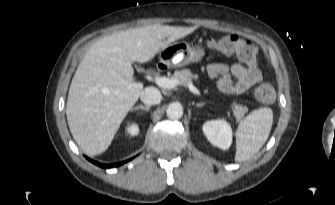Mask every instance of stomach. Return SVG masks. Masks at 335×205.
I'll return each mask as SVG.
<instances>
[{
    "instance_id": "1",
    "label": "stomach",
    "mask_w": 335,
    "mask_h": 205,
    "mask_svg": "<svg viewBox=\"0 0 335 205\" xmlns=\"http://www.w3.org/2000/svg\"><path fill=\"white\" fill-rule=\"evenodd\" d=\"M205 55L203 48L191 47L186 42H174L159 53L160 60L166 64L182 67L200 61Z\"/></svg>"
}]
</instances>
